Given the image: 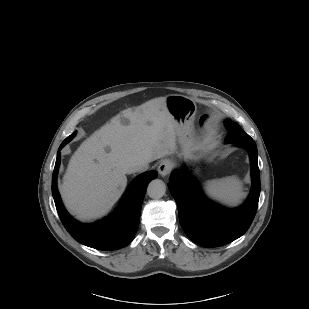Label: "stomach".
I'll list each match as a JSON object with an SVG mask.
<instances>
[{"instance_id": "stomach-1", "label": "stomach", "mask_w": 309, "mask_h": 309, "mask_svg": "<svg viewBox=\"0 0 309 309\" xmlns=\"http://www.w3.org/2000/svg\"><path fill=\"white\" fill-rule=\"evenodd\" d=\"M166 107L173 117L181 154L185 159H194V120L196 103L187 96L173 94L165 98Z\"/></svg>"}]
</instances>
